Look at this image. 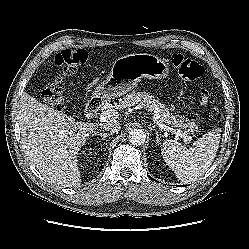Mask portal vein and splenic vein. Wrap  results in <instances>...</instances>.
<instances>
[{"mask_svg": "<svg viewBox=\"0 0 249 249\" xmlns=\"http://www.w3.org/2000/svg\"><path fill=\"white\" fill-rule=\"evenodd\" d=\"M117 117V112L115 110H105L103 111L100 115H99V119L101 122H105L106 120H110V119H113V118H116ZM157 125L166 130V131H170L172 133H174L175 135L183 138V141L185 144H187V142L191 139V137L186 134L185 132L181 131L180 129H174V128H171V127H168L166 125H164L162 122L160 121H157Z\"/></svg>", "mask_w": 249, "mask_h": 249, "instance_id": "1", "label": "portal vein and splenic vein"}]
</instances>
